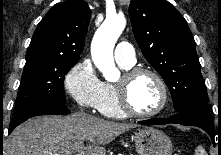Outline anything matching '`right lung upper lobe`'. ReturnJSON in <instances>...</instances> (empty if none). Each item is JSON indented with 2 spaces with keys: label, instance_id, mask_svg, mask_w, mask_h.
<instances>
[{
  "label": "right lung upper lobe",
  "instance_id": "right-lung-upper-lobe-1",
  "mask_svg": "<svg viewBox=\"0 0 221 155\" xmlns=\"http://www.w3.org/2000/svg\"><path fill=\"white\" fill-rule=\"evenodd\" d=\"M91 11L83 0H67L53 6L39 22L26 59L49 58L77 61L84 49Z\"/></svg>",
  "mask_w": 221,
  "mask_h": 155
}]
</instances>
